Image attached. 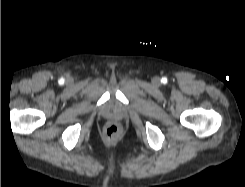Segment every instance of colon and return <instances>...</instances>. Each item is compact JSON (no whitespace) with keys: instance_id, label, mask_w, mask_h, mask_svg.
<instances>
[{"instance_id":"obj_1","label":"colon","mask_w":245,"mask_h":187,"mask_svg":"<svg viewBox=\"0 0 245 187\" xmlns=\"http://www.w3.org/2000/svg\"><path fill=\"white\" fill-rule=\"evenodd\" d=\"M105 132L108 137L112 138L120 132V126L116 123H109L105 127Z\"/></svg>"}]
</instances>
